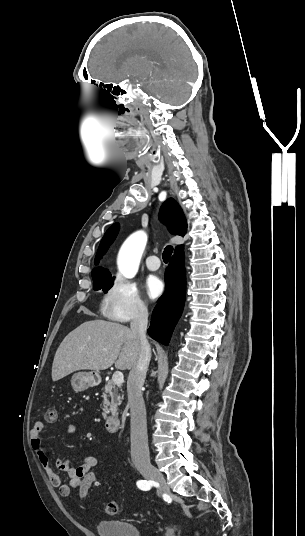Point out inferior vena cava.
I'll use <instances>...</instances> for the list:
<instances>
[{
	"label": "inferior vena cava",
	"instance_id": "602c4592",
	"mask_svg": "<svg viewBox=\"0 0 305 536\" xmlns=\"http://www.w3.org/2000/svg\"><path fill=\"white\" fill-rule=\"evenodd\" d=\"M148 310L146 306H137L130 322V328L140 342L141 352L137 366L130 370L127 382L128 404L131 412V458L141 462L150 460L146 424V410L141 390L146 378L151 358V348L146 338Z\"/></svg>",
	"mask_w": 305,
	"mask_h": 536
}]
</instances>
